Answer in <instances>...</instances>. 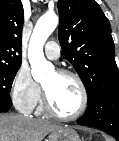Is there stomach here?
Masks as SVG:
<instances>
[{
    "label": "stomach",
    "instance_id": "0dacf381",
    "mask_svg": "<svg viewBox=\"0 0 119 141\" xmlns=\"http://www.w3.org/2000/svg\"><path fill=\"white\" fill-rule=\"evenodd\" d=\"M48 141H81V139L73 128L60 127L50 133Z\"/></svg>",
    "mask_w": 119,
    "mask_h": 141
}]
</instances>
